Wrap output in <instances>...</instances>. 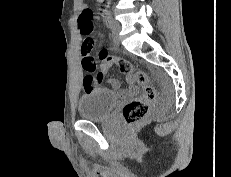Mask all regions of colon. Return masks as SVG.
I'll return each instance as SVG.
<instances>
[{"label": "colon", "instance_id": "obj_1", "mask_svg": "<svg viewBox=\"0 0 231 177\" xmlns=\"http://www.w3.org/2000/svg\"><path fill=\"white\" fill-rule=\"evenodd\" d=\"M92 17L93 13L88 8L81 13L78 19V26L84 37L81 46V55L83 68L87 72V75H85L83 80V85L86 90H92L99 85L97 75H93L97 69V64L96 60L91 55V52L94 49V26ZM99 56L101 59L116 65L121 73L133 77L135 83L143 88L142 95L129 101L125 104L122 110L123 117L129 125L140 123L148 114L150 106L157 96V91L151 84L149 76L144 71L134 68L126 59L109 56L105 51H101Z\"/></svg>", "mask_w": 231, "mask_h": 177}]
</instances>
